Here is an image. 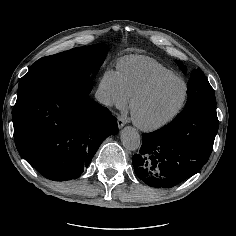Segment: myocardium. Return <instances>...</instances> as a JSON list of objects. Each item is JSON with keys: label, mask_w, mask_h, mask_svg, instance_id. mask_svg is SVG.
Wrapping results in <instances>:
<instances>
[{"label": "myocardium", "mask_w": 236, "mask_h": 236, "mask_svg": "<svg viewBox=\"0 0 236 236\" xmlns=\"http://www.w3.org/2000/svg\"><path fill=\"white\" fill-rule=\"evenodd\" d=\"M170 81H180L184 85V93H183L181 102L178 105V107L169 116L165 117L164 119H162L160 121H157L154 123H144V122L140 121L134 114V107H135L136 102L139 99H141L142 97L149 94L156 87L160 86L161 84L170 82ZM188 95H189V86H188L187 82L179 76H176V75L164 76V77L154 79L151 82H149L148 84H146L145 86H143L142 88H140L139 90H137L131 96L130 102H129L130 119H131L132 123L142 131H145V132L157 131V130L167 126L171 122H173L181 114V112L183 111V109L186 105Z\"/></svg>", "instance_id": "myocardium-1"}]
</instances>
